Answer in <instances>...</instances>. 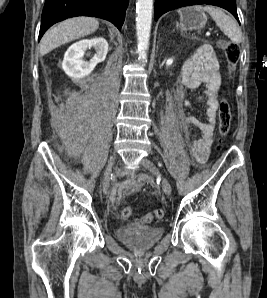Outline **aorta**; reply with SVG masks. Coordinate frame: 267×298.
<instances>
[{"label": "aorta", "instance_id": "aorta-1", "mask_svg": "<svg viewBox=\"0 0 267 298\" xmlns=\"http://www.w3.org/2000/svg\"><path fill=\"white\" fill-rule=\"evenodd\" d=\"M153 0H137L136 3V35L138 52L142 60L147 59L149 48L151 23H152Z\"/></svg>", "mask_w": 267, "mask_h": 298}]
</instances>
